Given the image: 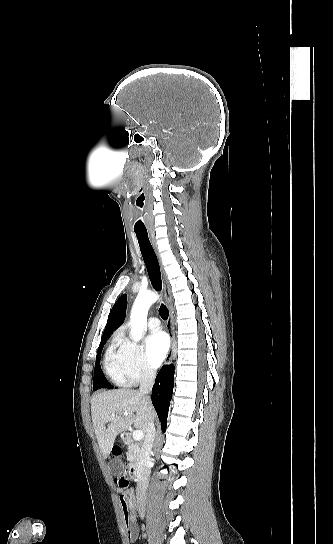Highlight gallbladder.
<instances>
[{"label":"gallbladder","instance_id":"gallbladder-1","mask_svg":"<svg viewBox=\"0 0 333 544\" xmlns=\"http://www.w3.org/2000/svg\"><path fill=\"white\" fill-rule=\"evenodd\" d=\"M111 473L116 476L120 475L122 471L124 470V467L120 461H113L109 465Z\"/></svg>","mask_w":333,"mask_h":544}]
</instances>
